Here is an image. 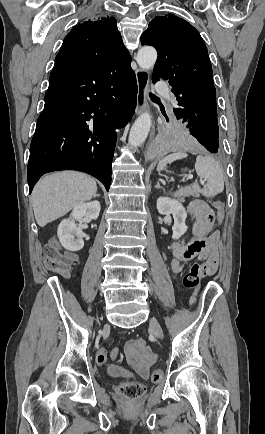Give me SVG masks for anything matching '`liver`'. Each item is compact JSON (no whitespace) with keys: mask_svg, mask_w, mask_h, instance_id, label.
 Segmentation results:
<instances>
[{"mask_svg":"<svg viewBox=\"0 0 265 434\" xmlns=\"http://www.w3.org/2000/svg\"><path fill=\"white\" fill-rule=\"evenodd\" d=\"M97 192L94 178L80 172H56L37 182L31 196L38 226L68 214L72 208L92 200Z\"/></svg>","mask_w":265,"mask_h":434,"instance_id":"1","label":"liver"}]
</instances>
